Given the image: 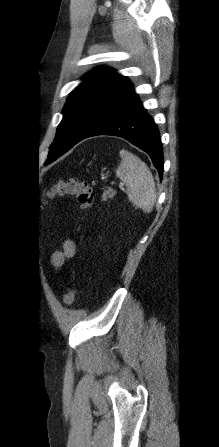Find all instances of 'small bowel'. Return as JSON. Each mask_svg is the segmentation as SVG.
Here are the masks:
<instances>
[{
	"mask_svg": "<svg viewBox=\"0 0 219 447\" xmlns=\"http://www.w3.org/2000/svg\"><path fill=\"white\" fill-rule=\"evenodd\" d=\"M76 253V246L73 241L66 240L63 243L62 250L57 251L52 256V263L56 267H60L64 264V262L70 258H72Z\"/></svg>",
	"mask_w": 219,
	"mask_h": 447,
	"instance_id": "1",
	"label": "small bowel"
}]
</instances>
